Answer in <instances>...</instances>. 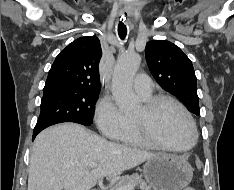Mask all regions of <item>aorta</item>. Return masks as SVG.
Segmentation results:
<instances>
[{"instance_id":"obj_1","label":"aorta","mask_w":234,"mask_h":190,"mask_svg":"<svg viewBox=\"0 0 234 190\" xmlns=\"http://www.w3.org/2000/svg\"><path fill=\"white\" fill-rule=\"evenodd\" d=\"M140 65L137 53L121 55L114 67L112 94L118 107L124 114H132L139 105V99L133 91V79Z\"/></svg>"}]
</instances>
